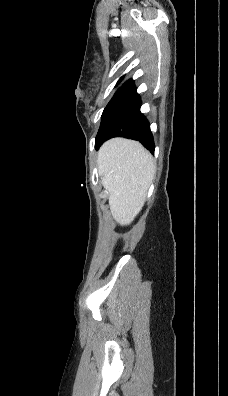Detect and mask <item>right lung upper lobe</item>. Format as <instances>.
I'll use <instances>...</instances> for the list:
<instances>
[{
    "label": "right lung upper lobe",
    "mask_w": 228,
    "mask_h": 396,
    "mask_svg": "<svg viewBox=\"0 0 228 396\" xmlns=\"http://www.w3.org/2000/svg\"><path fill=\"white\" fill-rule=\"evenodd\" d=\"M122 79H123V77H121V78L119 79V81L117 82V84H119V83L122 81ZM133 83H134V81H133L132 79H129L128 81H126V82L122 85V87H123V88H127V87L133 85Z\"/></svg>",
    "instance_id": "cb5924a9"
}]
</instances>
